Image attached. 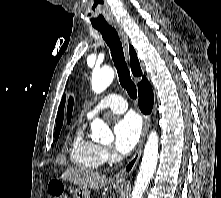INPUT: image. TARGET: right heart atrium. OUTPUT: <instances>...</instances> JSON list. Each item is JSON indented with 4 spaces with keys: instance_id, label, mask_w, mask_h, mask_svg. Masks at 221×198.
I'll return each mask as SVG.
<instances>
[{
    "instance_id": "1",
    "label": "right heart atrium",
    "mask_w": 221,
    "mask_h": 198,
    "mask_svg": "<svg viewBox=\"0 0 221 198\" xmlns=\"http://www.w3.org/2000/svg\"><path fill=\"white\" fill-rule=\"evenodd\" d=\"M101 156L104 163L113 162L116 158L115 152L108 146H101Z\"/></svg>"
}]
</instances>
